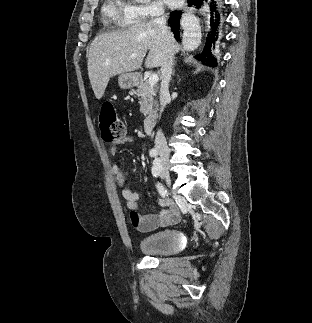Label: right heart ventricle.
Instances as JSON below:
<instances>
[{
    "instance_id": "1",
    "label": "right heart ventricle",
    "mask_w": 312,
    "mask_h": 323,
    "mask_svg": "<svg viewBox=\"0 0 312 323\" xmlns=\"http://www.w3.org/2000/svg\"><path fill=\"white\" fill-rule=\"evenodd\" d=\"M126 14L124 9H121L119 13H113L112 5H101L98 9L99 20H121V17Z\"/></svg>"
}]
</instances>
